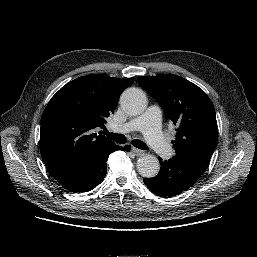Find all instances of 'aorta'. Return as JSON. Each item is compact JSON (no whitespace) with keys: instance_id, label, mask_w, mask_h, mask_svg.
Here are the masks:
<instances>
[{"instance_id":"762f6f07","label":"aorta","mask_w":257,"mask_h":257,"mask_svg":"<svg viewBox=\"0 0 257 257\" xmlns=\"http://www.w3.org/2000/svg\"><path fill=\"white\" fill-rule=\"evenodd\" d=\"M121 108L129 115H140L147 106L145 93L138 88L125 90L120 98ZM160 169L159 160L150 154H146L137 160L138 173L146 178L155 177Z\"/></svg>"}]
</instances>
